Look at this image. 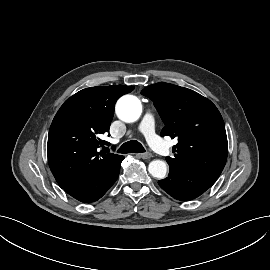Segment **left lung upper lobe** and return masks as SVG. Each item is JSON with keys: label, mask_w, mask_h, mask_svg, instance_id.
Wrapping results in <instances>:
<instances>
[{"label": "left lung upper lobe", "mask_w": 270, "mask_h": 270, "mask_svg": "<svg viewBox=\"0 0 270 270\" xmlns=\"http://www.w3.org/2000/svg\"><path fill=\"white\" fill-rule=\"evenodd\" d=\"M149 97L165 126L161 136L177 138L169 167L196 170L218 178L227 160L225 125L216 106L197 92L169 83H157L141 92Z\"/></svg>", "instance_id": "left-lung-upper-lobe-1"}]
</instances>
